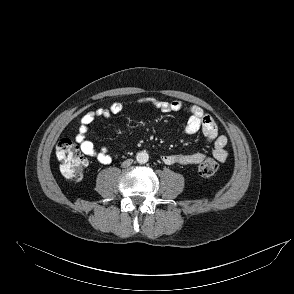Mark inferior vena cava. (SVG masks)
I'll return each instance as SVG.
<instances>
[{
	"instance_id": "obj_1",
	"label": "inferior vena cava",
	"mask_w": 294,
	"mask_h": 294,
	"mask_svg": "<svg viewBox=\"0 0 294 294\" xmlns=\"http://www.w3.org/2000/svg\"><path fill=\"white\" fill-rule=\"evenodd\" d=\"M133 163V160L132 159H127V160H125L123 163H122V167H128V166H130L131 164Z\"/></svg>"
}]
</instances>
